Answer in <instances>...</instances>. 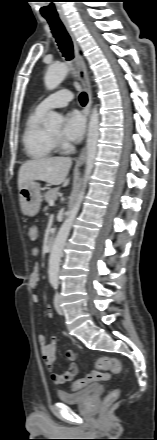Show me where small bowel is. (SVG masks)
<instances>
[{"instance_id": "1", "label": "small bowel", "mask_w": 157, "mask_h": 440, "mask_svg": "<svg viewBox=\"0 0 157 440\" xmlns=\"http://www.w3.org/2000/svg\"><path fill=\"white\" fill-rule=\"evenodd\" d=\"M33 255L38 254V249L34 247L32 249ZM39 282V268L35 266L31 275H30V283L33 288L37 287ZM35 301H39V296L34 295ZM46 313L48 317H52V309L50 306L46 307ZM38 340L41 346V353L43 356L44 363L48 370L51 373V379L55 384H63L71 381L78 373V367L74 363L75 354L72 350H66L65 357L69 361V364L66 366L65 370L61 373H57L53 371L54 362H55V352L57 345V336L52 337L50 342H47L46 337L43 333L38 336Z\"/></svg>"}]
</instances>
